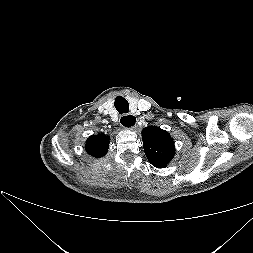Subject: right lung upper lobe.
I'll return each mask as SVG.
<instances>
[{
  "instance_id": "1",
  "label": "right lung upper lobe",
  "mask_w": 253,
  "mask_h": 253,
  "mask_svg": "<svg viewBox=\"0 0 253 253\" xmlns=\"http://www.w3.org/2000/svg\"><path fill=\"white\" fill-rule=\"evenodd\" d=\"M109 148V137L105 134L92 135L85 144L86 151L93 157L100 158L106 155Z\"/></svg>"
}]
</instances>
